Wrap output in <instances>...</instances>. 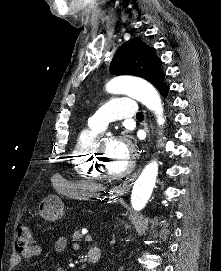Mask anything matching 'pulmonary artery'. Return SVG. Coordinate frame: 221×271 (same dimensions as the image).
<instances>
[{
  "label": "pulmonary artery",
  "instance_id": "pulmonary-artery-1",
  "mask_svg": "<svg viewBox=\"0 0 221 271\" xmlns=\"http://www.w3.org/2000/svg\"><path fill=\"white\" fill-rule=\"evenodd\" d=\"M132 98H114L107 102V107H101V112H96L92 122H87V127H108V122H119V117H137L136 107ZM81 138H98V133H81Z\"/></svg>",
  "mask_w": 221,
  "mask_h": 271
}]
</instances>
